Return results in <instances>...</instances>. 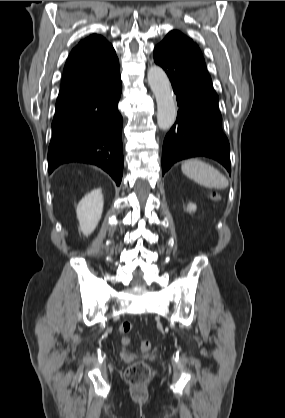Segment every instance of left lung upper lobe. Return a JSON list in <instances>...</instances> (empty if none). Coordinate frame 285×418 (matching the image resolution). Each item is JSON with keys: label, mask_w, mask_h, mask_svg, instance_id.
I'll list each match as a JSON object with an SVG mask.
<instances>
[{"label": "left lung upper lobe", "mask_w": 285, "mask_h": 418, "mask_svg": "<svg viewBox=\"0 0 285 418\" xmlns=\"http://www.w3.org/2000/svg\"><path fill=\"white\" fill-rule=\"evenodd\" d=\"M168 37H182V38H184L186 41H188L192 45V47L196 50V52L203 58L202 53H201L198 45L196 43H194L193 40H191L187 36L183 35L181 32L175 31V30L171 31L167 34V36L165 38H168Z\"/></svg>", "instance_id": "1"}]
</instances>
